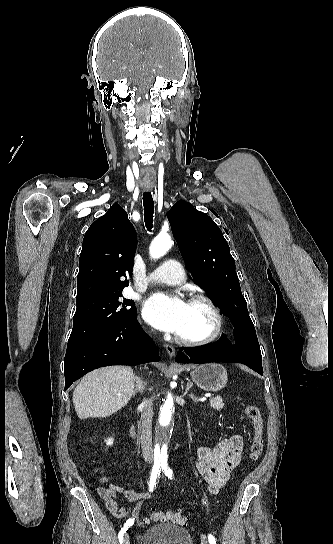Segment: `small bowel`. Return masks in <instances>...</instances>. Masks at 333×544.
Segmentation results:
<instances>
[{"label": "small bowel", "mask_w": 333, "mask_h": 544, "mask_svg": "<svg viewBox=\"0 0 333 544\" xmlns=\"http://www.w3.org/2000/svg\"><path fill=\"white\" fill-rule=\"evenodd\" d=\"M242 452L243 438L240 434L222 439L212 448L198 447L196 469L207 483L210 493L216 494L225 486L239 465ZM104 481L105 478H102L101 482ZM97 492L105 501V506L112 516L118 519H132L138 524L142 523L140 513L144 503L152 498V494L149 492L127 490L117 484H109L107 487L100 486ZM118 494L130 502H136L135 507L132 509L121 507L115 499Z\"/></svg>", "instance_id": "1"}]
</instances>
